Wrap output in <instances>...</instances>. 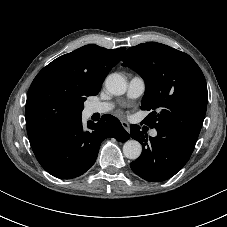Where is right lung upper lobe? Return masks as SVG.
Segmentation results:
<instances>
[{
    "label": "right lung upper lobe",
    "instance_id": "right-lung-upper-lobe-1",
    "mask_svg": "<svg viewBox=\"0 0 227 227\" xmlns=\"http://www.w3.org/2000/svg\"><path fill=\"white\" fill-rule=\"evenodd\" d=\"M126 48L108 50L85 45L44 67L27 95L25 118L33 152L61 130L81 119L83 102L97 95L108 72Z\"/></svg>",
    "mask_w": 227,
    "mask_h": 227
}]
</instances>
